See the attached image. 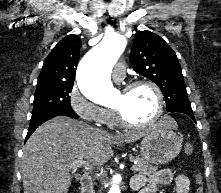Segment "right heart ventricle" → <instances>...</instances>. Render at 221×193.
<instances>
[{
  "instance_id": "1",
  "label": "right heart ventricle",
  "mask_w": 221,
  "mask_h": 193,
  "mask_svg": "<svg viewBox=\"0 0 221 193\" xmlns=\"http://www.w3.org/2000/svg\"><path fill=\"white\" fill-rule=\"evenodd\" d=\"M107 124L110 126H116L119 124L116 114L113 111H109Z\"/></svg>"
}]
</instances>
